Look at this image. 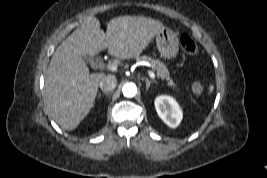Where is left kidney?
I'll return each instance as SVG.
<instances>
[{
    "label": "left kidney",
    "mask_w": 267,
    "mask_h": 178,
    "mask_svg": "<svg viewBox=\"0 0 267 178\" xmlns=\"http://www.w3.org/2000/svg\"><path fill=\"white\" fill-rule=\"evenodd\" d=\"M155 109L158 116L171 128H176L182 120V110L173 97L160 95L156 97Z\"/></svg>",
    "instance_id": "left-kidney-1"
}]
</instances>
